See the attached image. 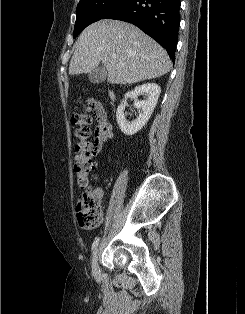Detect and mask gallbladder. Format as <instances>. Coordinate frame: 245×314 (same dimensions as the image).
<instances>
[{
    "label": "gallbladder",
    "instance_id": "bac80fb5",
    "mask_svg": "<svg viewBox=\"0 0 245 314\" xmlns=\"http://www.w3.org/2000/svg\"><path fill=\"white\" fill-rule=\"evenodd\" d=\"M107 71L104 67L98 66L88 74V79L93 84H99L106 80Z\"/></svg>",
    "mask_w": 245,
    "mask_h": 314
}]
</instances>
